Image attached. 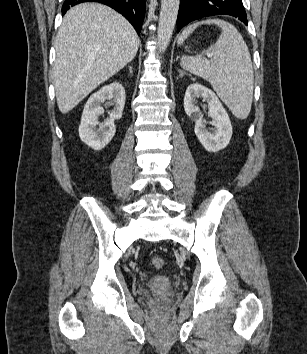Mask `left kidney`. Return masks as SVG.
Listing matches in <instances>:
<instances>
[{
  "mask_svg": "<svg viewBox=\"0 0 307 354\" xmlns=\"http://www.w3.org/2000/svg\"><path fill=\"white\" fill-rule=\"evenodd\" d=\"M203 98L208 104V115L214 126L212 132L206 129L203 114L197 106V99ZM186 114L195 121V134L203 147L209 152L224 149L232 137V125L229 116L216 94L209 88L195 83L188 86L184 97Z\"/></svg>",
  "mask_w": 307,
  "mask_h": 354,
  "instance_id": "5707ae66",
  "label": "left kidney"
}]
</instances>
